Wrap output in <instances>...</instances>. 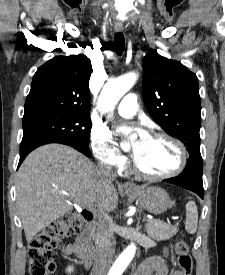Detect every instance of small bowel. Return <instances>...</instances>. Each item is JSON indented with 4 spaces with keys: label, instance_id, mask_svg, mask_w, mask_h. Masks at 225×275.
Segmentation results:
<instances>
[{
    "label": "small bowel",
    "instance_id": "1",
    "mask_svg": "<svg viewBox=\"0 0 225 275\" xmlns=\"http://www.w3.org/2000/svg\"><path fill=\"white\" fill-rule=\"evenodd\" d=\"M76 253L75 242L64 248V254ZM135 275H182L180 271L168 272L165 256H153L145 259L138 267Z\"/></svg>",
    "mask_w": 225,
    "mask_h": 275
}]
</instances>
